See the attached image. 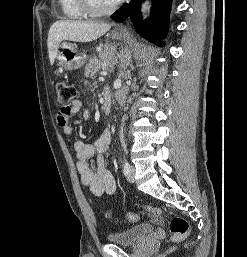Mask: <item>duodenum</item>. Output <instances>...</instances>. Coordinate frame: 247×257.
Wrapping results in <instances>:
<instances>
[{
	"instance_id": "1",
	"label": "duodenum",
	"mask_w": 247,
	"mask_h": 257,
	"mask_svg": "<svg viewBox=\"0 0 247 257\" xmlns=\"http://www.w3.org/2000/svg\"><path fill=\"white\" fill-rule=\"evenodd\" d=\"M112 93L108 87L103 91V112L107 115L111 112L112 109Z\"/></svg>"
}]
</instances>
